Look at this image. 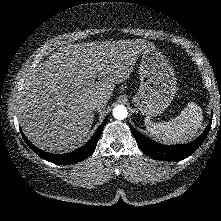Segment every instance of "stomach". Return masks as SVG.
<instances>
[{
  "mask_svg": "<svg viewBox=\"0 0 221 221\" xmlns=\"http://www.w3.org/2000/svg\"><path fill=\"white\" fill-rule=\"evenodd\" d=\"M140 88L132 101L147 117L158 116L169 106L176 92V78L168 60L154 48L142 54Z\"/></svg>",
  "mask_w": 221,
  "mask_h": 221,
  "instance_id": "1",
  "label": "stomach"
}]
</instances>
